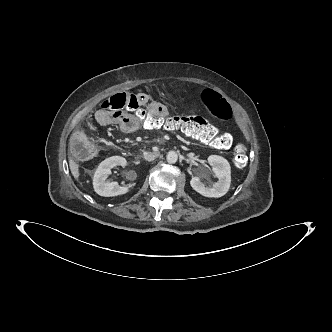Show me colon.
Returning a JSON list of instances; mask_svg holds the SVG:
<instances>
[{
    "label": "colon",
    "instance_id": "colon-1",
    "mask_svg": "<svg viewBox=\"0 0 332 332\" xmlns=\"http://www.w3.org/2000/svg\"><path fill=\"white\" fill-rule=\"evenodd\" d=\"M199 100L202 105L207 107L209 113L215 119L225 121L230 118L232 114L230 105L215 90L211 88L202 90ZM101 109H110L113 112L129 110L138 116L142 128H147L153 133L159 129L181 131L196 140L210 143L218 149H226L232 143V137L229 133L219 132L210 122L202 117L173 115H169L166 119L155 117L138 104L136 95L130 93H119L109 97L103 102ZM86 127L87 125L84 124L82 130L71 142L73 154L81 159H87L93 155V149L85 135ZM246 162V149L242 143L238 142L234 148V164L236 167L242 168Z\"/></svg>",
    "mask_w": 332,
    "mask_h": 332
}]
</instances>
